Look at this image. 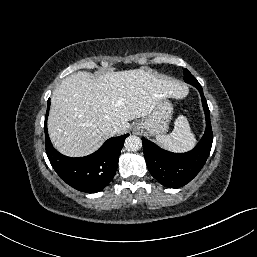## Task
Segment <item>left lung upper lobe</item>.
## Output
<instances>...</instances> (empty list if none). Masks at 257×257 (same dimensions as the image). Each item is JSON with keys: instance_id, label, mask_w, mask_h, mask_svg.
I'll return each instance as SVG.
<instances>
[{"instance_id": "obj_1", "label": "left lung upper lobe", "mask_w": 257, "mask_h": 257, "mask_svg": "<svg viewBox=\"0 0 257 257\" xmlns=\"http://www.w3.org/2000/svg\"><path fill=\"white\" fill-rule=\"evenodd\" d=\"M184 80L186 83H189L194 87H196L197 84H199L197 79L187 69L184 70Z\"/></svg>"}]
</instances>
